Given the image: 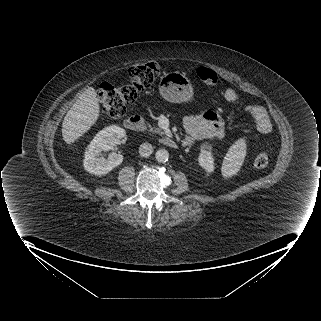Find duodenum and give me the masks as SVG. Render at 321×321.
Listing matches in <instances>:
<instances>
[{
	"label": "duodenum",
	"instance_id": "1",
	"mask_svg": "<svg viewBox=\"0 0 321 321\" xmlns=\"http://www.w3.org/2000/svg\"><path fill=\"white\" fill-rule=\"evenodd\" d=\"M124 125L127 129L135 132H142L145 129V123L139 115H130L125 119ZM160 141L169 148H176L178 145L177 141L171 137H162Z\"/></svg>",
	"mask_w": 321,
	"mask_h": 321
}]
</instances>
